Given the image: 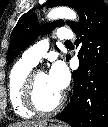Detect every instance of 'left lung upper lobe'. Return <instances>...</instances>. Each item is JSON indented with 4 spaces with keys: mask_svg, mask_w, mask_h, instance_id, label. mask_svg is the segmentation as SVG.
I'll return each instance as SVG.
<instances>
[{
    "mask_svg": "<svg viewBox=\"0 0 108 127\" xmlns=\"http://www.w3.org/2000/svg\"><path fill=\"white\" fill-rule=\"evenodd\" d=\"M83 1L84 0H48L46 4L48 7L67 5L74 8L79 13V9ZM67 24L71 27V29H73L76 25L73 21H68ZM62 25H64L63 20H57L51 24L40 26L36 21V15L34 13L27 12L23 14L12 31L8 51V62L10 63L17 54L33 42L39 34L50 32L54 27ZM68 59L69 56H67V60Z\"/></svg>",
    "mask_w": 108,
    "mask_h": 127,
    "instance_id": "obj_1",
    "label": "left lung upper lobe"
}]
</instances>
